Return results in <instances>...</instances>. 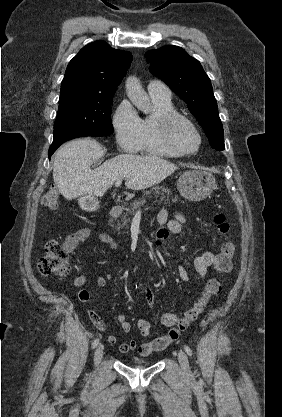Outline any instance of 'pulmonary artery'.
I'll return each instance as SVG.
<instances>
[{"instance_id":"1","label":"pulmonary artery","mask_w":282,"mask_h":417,"mask_svg":"<svg viewBox=\"0 0 282 417\" xmlns=\"http://www.w3.org/2000/svg\"><path fill=\"white\" fill-rule=\"evenodd\" d=\"M147 89L152 98H161L164 100H170L171 98L170 89L160 81H151L148 84Z\"/></svg>"}]
</instances>
